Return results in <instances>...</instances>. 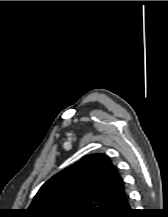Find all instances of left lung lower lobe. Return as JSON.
<instances>
[{"label": "left lung lower lobe", "instance_id": "obj_1", "mask_svg": "<svg viewBox=\"0 0 168 217\" xmlns=\"http://www.w3.org/2000/svg\"><path fill=\"white\" fill-rule=\"evenodd\" d=\"M134 214L128 194L124 189L107 203L105 210L98 217H133Z\"/></svg>", "mask_w": 168, "mask_h": 217}]
</instances>
